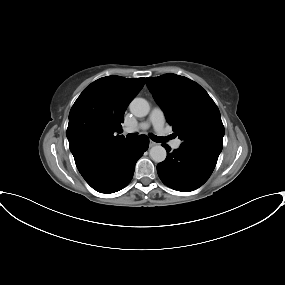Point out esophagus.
<instances>
[{
  "label": "esophagus",
  "instance_id": "34e87169",
  "mask_svg": "<svg viewBox=\"0 0 285 285\" xmlns=\"http://www.w3.org/2000/svg\"><path fill=\"white\" fill-rule=\"evenodd\" d=\"M155 145H157V143H155V142H153V141H150V143H149V146H150V147H153V146H155Z\"/></svg>",
  "mask_w": 285,
  "mask_h": 285
}]
</instances>
